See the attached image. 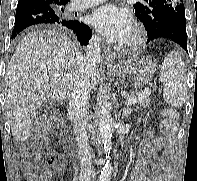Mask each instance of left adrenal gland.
I'll return each instance as SVG.
<instances>
[{
    "mask_svg": "<svg viewBox=\"0 0 197 181\" xmlns=\"http://www.w3.org/2000/svg\"><path fill=\"white\" fill-rule=\"evenodd\" d=\"M131 111L132 110L130 108H124L119 111V114H121L122 112V116L127 117L131 113Z\"/></svg>",
    "mask_w": 197,
    "mask_h": 181,
    "instance_id": "obj_1",
    "label": "left adrenal gland"
}]
</instances>
